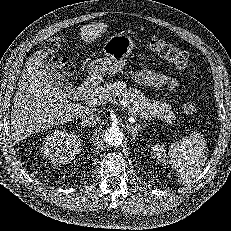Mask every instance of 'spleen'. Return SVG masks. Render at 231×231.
Returning a JSON list of instances; mask_svg holds the SVG:
<instances>
[{"mask_svg":"<svg viewBox=\"0 0 231 231\" xmlns=\"http://www.w3.org/2000/svg\"><path fill=\"white\" fill-rule=\"evenodd\" d=\"M206 153L204 136L195 132L174 143L168 153L163 145L155 146L152 151L159 162L167 161L172 166L184 184L190 183L199 174Z\"/></svg>","mask_w":231,"mask_h":231,"instance_id":"spleen-1","label":"spleen"}]
</instances>
